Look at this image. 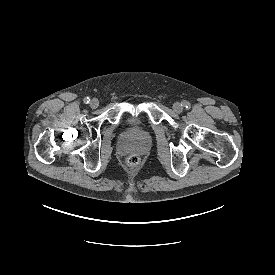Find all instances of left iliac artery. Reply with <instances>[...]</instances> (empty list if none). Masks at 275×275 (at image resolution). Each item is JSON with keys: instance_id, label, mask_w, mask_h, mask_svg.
Returning a JSON list of instances; mask_svg holds the SVG:
<instances>
[{"instance_id": "left-iliac-artery-1", "label": "left iliac artery", "mask_w": 275, "mask_h": 275, "mask_svg": "<svg viewBox=\"0 0 275 275\" xmlns=\"http://www.w3.org/2000/svg\"><path fill=\"white\" fill-rule=\"evenodd\" d=\"M182 106L186 107V108H189L190 107V104L188 101L184 100L181 104Z\"/></svg>"}]
</instances>
